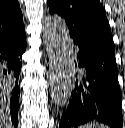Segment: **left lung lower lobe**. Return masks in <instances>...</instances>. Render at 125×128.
Listing matches in <instances>:
<instances>
[{
    "instance_id": "left-lung-lower-lobe-1",
    "label": "left lung lower lobe",
    "mask_w": 125,
    "mask_h": 128,
    "mask_svg": "<svg viewBox=\"0 0 125 128\" xmlns=\"http://www.w3.org/2000/svg\"><path fill=\"white\" fill-rule=\"evenodd\" d=\"M74 43L82 71L77 76L59 128H75L93 120L122 128V93L115 52Z\"/></svg>"
}]
</instances>
